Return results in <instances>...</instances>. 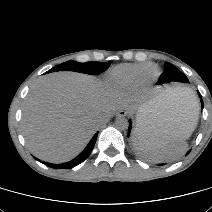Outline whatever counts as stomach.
<instances>
[{"label":"stomach","instance_id":"stomach-1","mask_svg":"<svg viewBox=\"0 0 212 212\" xmlns=\"http://www.w3.org/2000/svg\"><path fill=\"white\" fill-rule=\"evenodd\" d=\"M155 112L156 110L153 108V105H152V100L143 104L140 109L138 110V113L137 114H140L143 118H149L150 120L152 119H155ZM156 119L159 120V117L156 116ZM173 133V132H172ZM171 133L169 134H166V135H170Z\"/></svg>","mask_w":212,"mask_h":212}]
</instances>
